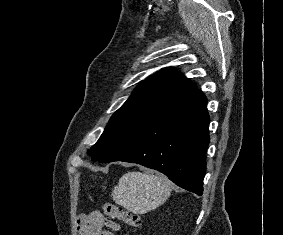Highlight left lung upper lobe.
<instances>
[{"mask_svg":"<svg viewBox=\"0 0 283 235\" xmlns=\"http://www.w3.org/2000/svg\"><path fill=\"white\" fill-rule=\"evenodd\" d=\"M197 90L181 73L166 68L137 87L112 115L89 153L93 161L105 159L142 127Z\"/></svg>","mask_w":283,"mask_h":235,"instance_id":"5c2ea615","label":"left lung upper lobe"}]
</instances>
